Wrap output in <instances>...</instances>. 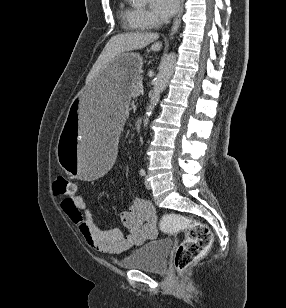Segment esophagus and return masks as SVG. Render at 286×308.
I'll return each instance as SVG.
<instances>
[{
  "mask_svg": "<svg viewBox=\"0 0 286 308\" xmlns=\"http://www.w3.org/2000/svg\"><path fill=\"white\" fill-rule=\"evenodd\" d=\"M182 2H183V0H181V8H180V10H179V12H178V14H177V17H176V19H175V21H174V25H173V27H172V30H171L170 35H173V34L177 31V29H178V27H179V24H180V17H181V14H182Z\"/></svg>",
  "mask_w": 286,
  "mask_h": 308,
  "instance_id": "obj_1",
  "label": "esophagus"
}]
</instances>
